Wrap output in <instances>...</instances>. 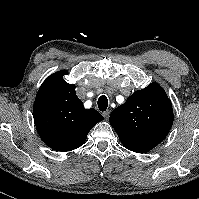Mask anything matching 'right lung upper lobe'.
<instances>
[{"label":"right lung upper lobe","mask_w":199,"mask_h":199,"mask_svg":"<svg viewBox=\"0 0 199 199\" xmlns=\"http://www.w3.org/2000/svg\"><path fill=\"white\" fill-rule=\"evenodd\" d=\"M66 70L50 75L41 85L33 107L36 129L41 139L57 151H71L84 144L88 132L103 116L85 109L75 85L67 83Z\"/></svg>","instance_id":"cb5924a9"}]
</instances>
